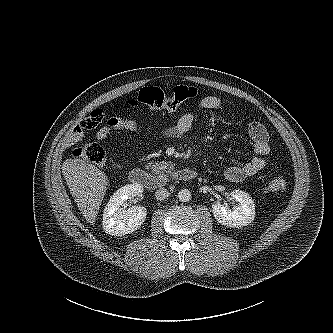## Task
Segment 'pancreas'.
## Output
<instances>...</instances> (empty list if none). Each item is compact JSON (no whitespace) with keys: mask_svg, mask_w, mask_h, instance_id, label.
Returning a JSON list of instances; mask_svg holds the SVG:
<instances>
[{"mask_svg":"<svg viewBox=\"0 0 333 333\" xmlns=\"http://www.w3.org/2000/svg\"><path fill=\"white\" fill-rule=\"evenodd\" d=\"M147 168H151V170L156 174L163 173H171L174 170V166L170 162H160V163H148Z\"/></svg>","mask_w":333,"mask_h":333,"instance_id":"1","label":"pancreas"}]
</instances>
